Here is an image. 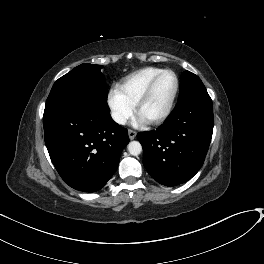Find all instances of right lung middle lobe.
I'll list each match as a JSON object with an SVG mask.
<instances>
[{"instance_id":"obj_1","label":"right lung middle lobe","mask_w":264,"mask_h":264,"mask_svg":"<svg viewBox=\"0 0 264 264\" xmlns=\"http://www.w3.org/2000/svg\"><path fill=\"white\" fill-rule=\"evenodd\" d=\"M102 68L101 65L85 63L59 78L47 98L45 111L59 108L86 95L107 97L105 79L100 72Z\"/></svg>"}]
</instances>
